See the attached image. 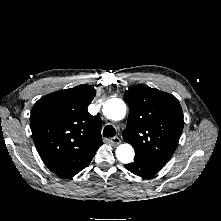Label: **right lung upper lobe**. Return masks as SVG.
Returning <instances> with one entry per match:
<instances>
[{
	"instance_id": "obj_1",
	"label": "right lung upper lobe",
	"mask_w": 221,
	"mask_h": 221,
	"mask_svg": "<svg viewBox=\"0 0 221 221\" xmlns=\"http://www.w3.org/2000/svg\"><path fill=\"white\" fill-rule=\"evenodd\" d=\"M95 94L93 87L79 85L50 93L32 108L30 126L37 151L58 176L79 173L102 145L101 119L87 110Z\"/></svg>"
}]
</instances>
